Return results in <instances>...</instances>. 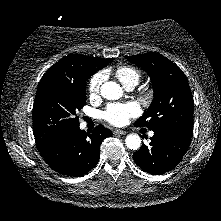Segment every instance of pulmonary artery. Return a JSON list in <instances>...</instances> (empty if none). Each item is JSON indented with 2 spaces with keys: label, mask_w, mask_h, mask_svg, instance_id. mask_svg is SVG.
Returning a JSON list of instances; mask_svg holds the SVG:
<instances>
[{
  "label": "pulmonary artery",
  "mask_w": 221,
  "mask_h": 221,
  "mask_svg": "<svg viewBox=\"0 0 221 221\" xmlns=\"http://www.w3.org/2000/svg\"><path fill=\"white\" fill-rule=\"evenodd\" d=\"M134 87H135V85L131 84V85H128V86L126 87V89H127V90H133ZM153 135H154L153 132H150V133H149V136H150V137L153 136Z\"/></svg>",
  "instance_id": "1"
}]
</instances>
